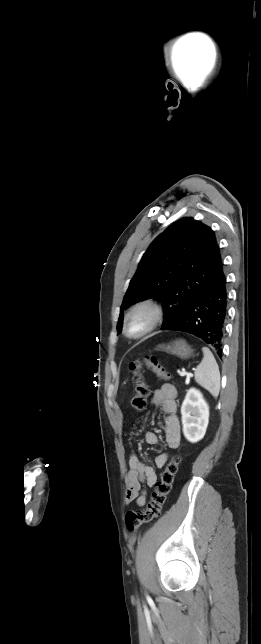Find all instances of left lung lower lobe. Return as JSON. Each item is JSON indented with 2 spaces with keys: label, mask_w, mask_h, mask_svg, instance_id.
Here are the masks:
<instances>
[{
  "label": "left lung lower lobe",
  "mask_w": 261,
  "mask_h": 644,
  "mask_svg": "<svg viewBox=\"0 0 261 644\" xmlns=\"http://www.w3.org/2000/svg\"><path fill=\"white\" fill-rule=\"evenodd\" d=\"M227 282L223 262L184 312L163 330L187 332L211 344L222 354V338L227 315Z\"/></svg>",
  "instance_id": "obj_1"
}]
</instances>
